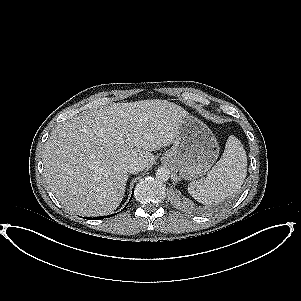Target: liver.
Masks as SVG:
<instances>
[{
	"label": "liver",
	"mask_w": 301,
	"mask_h": 301,
	"mask_svg": "<svg viewBox=\"0 0 301 301\" xmlns=\"http://www.w3.org/2000/svg\"><path fill=\"white\" fill-rule=\"evenodd\" d=\"M188 113L170 102L114 104L53 130L43 150L44 176L67 209L84 216L120 205L131 162L153 165V151L172 144Z\"/></svg>",
	"instance_id": "1"
}]
</instances>
